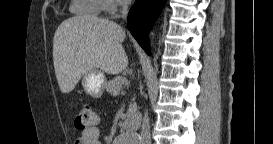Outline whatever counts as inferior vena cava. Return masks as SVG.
<instances>
[{"label": "inferior vena cava", "mask_w": 273, "mask_h": 144, "mask_svg": "<svg viewBox=\"0 0 273 144\" xmlns=\"http://www.w3.org/2000/svg\"><path fill=\"white\" fill-rule=\"evenodd\" d=\"M118 5L121 6L123 19H126L128 13V3L126 0H118ZM141 144H151V134L149 117L147 111L144 113L142 129H141Z\"/></svg>", "instance_id": "inferior-vena-cava-1"}]
</instances>
